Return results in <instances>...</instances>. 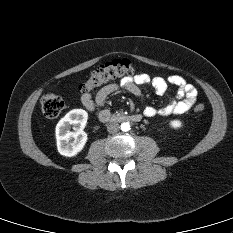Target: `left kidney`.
<instances>
[{
    "label": "left kidney",
    "mask_w": 233,
    "mask_h": 233,
    "mask_svg": "<svg viewBox=\"0 0 233 233\" xmlns=\"http://www.w3.org/2000/svg\"><path fill=\"white\" fill-rule=\"evenodd\" d=\"M170 126L174 129H179L182 126V122L180 120H172L170 121Z\"/></svg>",
    "instance_id": "1"
}]
</instances>
